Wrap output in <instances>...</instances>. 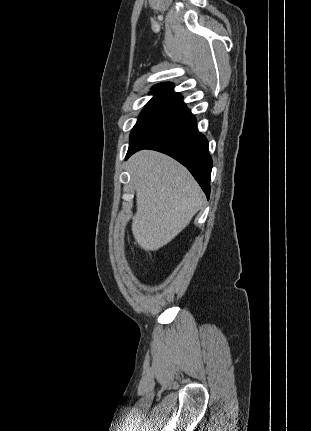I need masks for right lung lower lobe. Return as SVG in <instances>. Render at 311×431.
I'll list each match as a JSON object with an SVG mask.
<instances>
[{
  "label": "right lung lower lobe",
  "mask_w": 311,
  "mask_h": 431,
  "mask_svg": "<svg viewBox=\"0 0 311 431\" xmlns=\"http://www.w3.org/2000/svg\"><path fill=\"white\" fill-rule=\"evenodd\" d=\"M142 149L156 150L179 161L209 198L212 159L208 141L198 132L196 119L182 100L163 111L130 141L126 159Z\"/></svg>",
  "instance_id": "obj_1"
}]
</instances>
